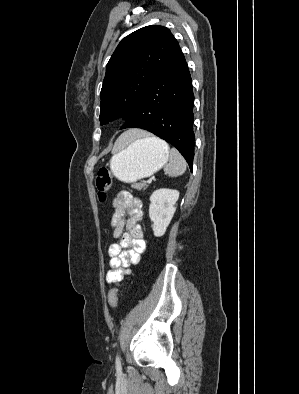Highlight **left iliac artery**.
Returning a JSON list of instances; mask_svg holds the SVG:
<instances>
[{"mask_svg": "<svg viewBox=\"0 0 299 394\" xmlns=\"http://www.w3.org/2000/svg\"><path fill=\"white\" fill-rule=\"evenodd\" d=\"M116 368L118 370L121 369V360H120V357L118 355L116 356Z\"/></svg>", "mask_w": 299, "mask_h": 394, "instance_id": "left-iliac-artery-1", "label": "left iliac artery"}]
</instances>
